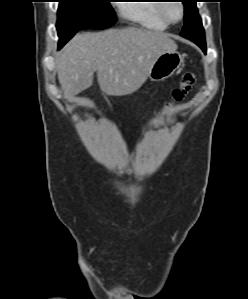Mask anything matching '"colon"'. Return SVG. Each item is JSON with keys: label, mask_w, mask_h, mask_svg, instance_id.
I'll use <instances>...</instances> for the list:
<instances>
[{"label": "colon", "mask_w": 248, "mask_h": 299, "mask_svg": "<svg viewBox=\"0 0 248 299\" xmlns=\"http://www.w3.org/2000/svg\"><path fill=\"white\" fill-rule=\"evenodd\" d=\"M197 87L198 81L196 74L192 72L184 74L179 86L172 91L170 100H168L161 109H167L173 104L184 101L185 98L189 94H191Z\"/></svg>", "instance_id": "colon-1"}]
</instances>
